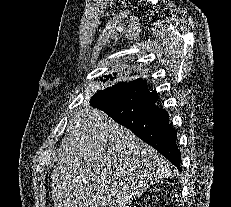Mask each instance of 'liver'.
<instances>
[{
  "instance_id": "liver-1",
  "label": "liver",
  "mask_w": 231,
  "mask_h": 207,
  "mask_svg": "<svg viewBox=\"0 0 231 207\" xmlns=\"http://www.w3.org/2000/svg\"><path fill=\"white\" fill-rule=\"evenodd\" d=\"M56 162L55 207H129L148 186L171 174L154 148L92 107L69 121Z\"/></svg>"
}]
</instances>
